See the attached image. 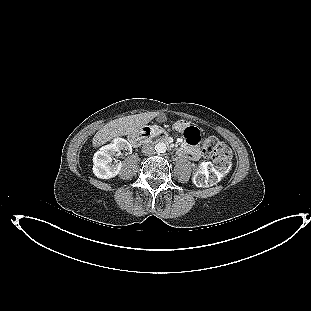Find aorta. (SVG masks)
<instances>
[{"instance_id": "aorta-1", "label": "aorta", "mask_w": 311, "mask_h": 311, "mask_svg": "<svg viewBox=\"0 0 311 311\" xmlns=\"http://www.w3.org/2000/svg\"><path fill=\"white\" fill-rule=\"evenodd\" d=\"M166 144L163 142H159L155 145V150L157 153H165L166 152Z\"/></svg>"}]
</instances>
